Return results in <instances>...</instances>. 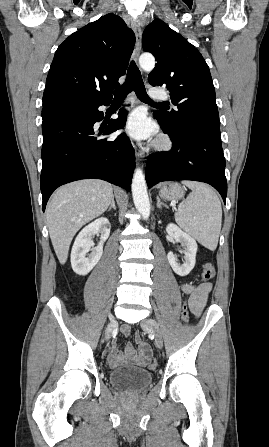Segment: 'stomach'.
I'll return each mask as SVG.
<instances>
[{"label": "stomach", "mask_w": 269, "mask_h": 447, "mask_svg": "<svg viewBox=\"0 0 269 447\" xmlns=\"http://www.w3.org/2000/svg\"><path fill=\"white\" fill-rule=\"evenodd\" d=\"M158 188H160L159 196L164 200H181L184 196V188L176 182H164L159 184Z\"/></svg>", "instance_id": "obj_1"}]
</instances>
